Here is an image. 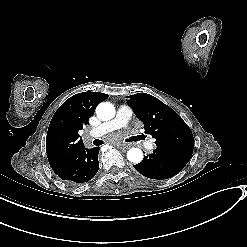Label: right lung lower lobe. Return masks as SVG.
<instances>
[{
  "mask_svg": "<svg viewBox=\"0 0 247 247\" xmlns=\"http://www.w3.org/2000/svg\"><path fill=\"white\" fill-rule=\"evenodd\" d=\"M99 150V147L87 149L83 145L62 161L50 166L62 180L84 183L92 179L98 171Z\"/></svg>",
  "mask_w": 247,
  "mask_h": 247,
  "instance_id": "98d812e1",
  "label": "right lung lower lobe"
}]
</instances>
